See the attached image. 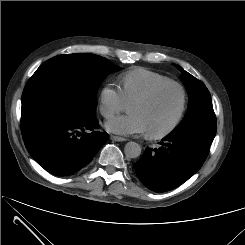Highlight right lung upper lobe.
I'll list each match as a JSON object with an SVG mask.
<instances>
[{
    "label": "right lung upper lobe",
    "instance_id": "cb5924a9",
    "mask_svg": "<svg viewBox=\"0 0 245 245\" xmlns=\"http://www.w3.org/2000/svg\"><path fill=\"white\" fill-rule=\"evenodd\" d=\"M63 74V72L56 70L52 65H49L47 62H44L29 80H50L54 82L57 79H62Z\"/></svg>",
    "mask_w": 245,
    "mask_h": 245
}]
</instances>
